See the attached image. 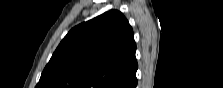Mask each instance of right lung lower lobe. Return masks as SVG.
I'll list each match as a JSON object with an SVG mask.
<instances>
[{
	"instance_id": "obj_1",
	"label": "right lung lower lobe",
	"mask_w": 223,
	"mask_h": 88,
	"mask_svg": "<svg viewBox=\"0 0 223 88\" xmlns=\"http://www.w3.org/2000/svg\"><path fill=\"white\" fill-rule=\"evenodd\" d=\"M137 85V79H134V81L132 82L131 88H136Z\"/></svg>"
}]
</instances>
